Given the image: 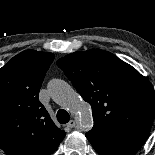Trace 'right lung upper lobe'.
Segmentation results:
<instances>
[{"instance_id": "right-lung-upper-lobe-1", "label": "right lung upper lobe", "mask_w": 155, "mask_h": 155, "mask_svg": "<svg viewBox=\"0 0 155 155\" xmlns=\"http://www.w3.org/2000/svg\"><path fill=\"white\" fill-rule=\"evenodd\" d=\"M54 58L25 50L0 68V147L8 155H49L66 135L39 101Z\"/></svg>"}]
</instances>
